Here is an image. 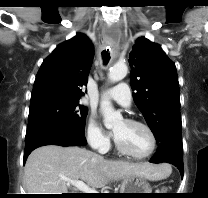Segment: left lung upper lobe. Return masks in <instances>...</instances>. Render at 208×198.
Segmentation results:
<instances>
[{
    "instance_id": "1",
    "label": "left lung upper lobe",
    "mask_w": 208,
    "mask_h": 198,
    "mask_svg": "<svg viewBox=\"0 0 208 198\" xmlns=\"http://www.w3.org/2000/svg\"><path fill=\"white\" fill-rule=\"evenodd\" d=\"M133 99L157 142L182 149L179 83L175 64L161 46L145 37L129 55Z\"/></svg>"
}]
</instances>
